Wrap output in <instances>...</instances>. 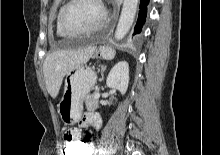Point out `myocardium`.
I'll return each mask as SVG.
<instances>
[{
	"mask_svg": "<svg viewBox=\"0 0 220 155\" xmlns=\"http://www.w3.org/2000/svg\"><path fill=\"white\" fill-rule=\"evenodd\" d=\"M77 1L78 0H68L59 10L58 26L62 32H64L65 34H68V35L88 34V33H92V32H95V31L101 29L106 24L107 12H106L101 0H98L103 7L104 16H103L102 20L97 25L90 27V28H85V29H73V28H70L69 26H67V24L65 23V20H64L65 13L69 9V7H71Z\"/></svg>",
	"mask_w": 220,
	"mask_h": 155,
	"instance_id": "myocardium-1",
	"label": "myocardium"
}]
</instances>
